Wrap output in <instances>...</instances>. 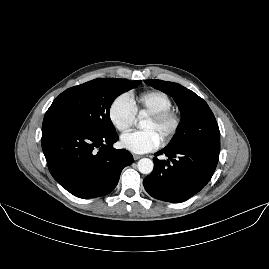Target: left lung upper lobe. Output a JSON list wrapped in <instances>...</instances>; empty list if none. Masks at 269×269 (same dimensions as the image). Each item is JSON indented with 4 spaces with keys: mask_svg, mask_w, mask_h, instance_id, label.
I'll return each instance as SVG.
<instances>
[{
    "mask_svg": "<svg viewBox=\"0 0 269 269\" xmlns=\"http://www.w3.org/2000/svg\"><path fill=\"white\" fill-rule=\"evenodd\" d=\"M145 83L173 97L180 109L182 120L178 134H175L169 147H206L220 151L216 119L202 98L177 83L155 79L145 80Z\"/></svg>",
    "mask_w": 269,
    "mask_h": 269,
    "instance_id": "5c2ea615",
    "label": "left lung upper lobe"
}]
</instances>
